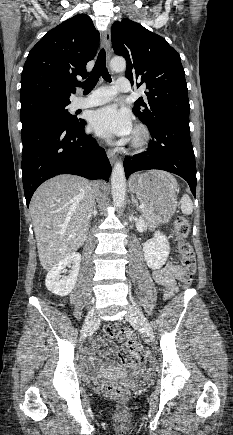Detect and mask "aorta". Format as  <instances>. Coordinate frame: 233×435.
Wrapping results in <instances>:
<instances>
[{"instance_id": "aorta-1", "label": "aorta", "mask_w": 233, "mask_h": 435, "mask_svg": "<svg viewBox=\"0 0 233 435\" xmlns=\"http://www.w3.org/2000/svg\"><path fill=\"white\" fill-rule=\"evenodd\" d=\"M113 71L121 72L126 68V61L123 58H113L110 62ZM112 198L117 208L124 206L126 194V178L124 167L121 162H116L111 175Z\"/></svg>"}]
</instances>
